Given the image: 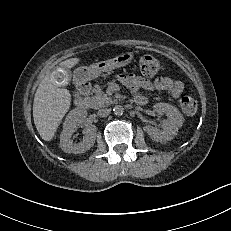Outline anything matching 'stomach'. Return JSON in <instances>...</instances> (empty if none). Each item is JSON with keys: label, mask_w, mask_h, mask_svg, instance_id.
<instances>
[{"label": "stomach", "mask_w": 231, "mask_h": 231, "mask_svg": "<svg viewBox=\"0 0 231 231\" xmlns=\"http://www.w3.org/2000/svg\"><path fill=\"white\" fill-rule=\"evenodd\" d=\"M134 59L133 52L122 53L115 58L100 61L90 66H80L75 71V77L80 82L97 78L103 72H110L117 68L125 67Z\"/></svg>", "instance_id": "1"}]
</instances>
